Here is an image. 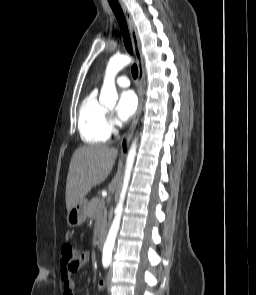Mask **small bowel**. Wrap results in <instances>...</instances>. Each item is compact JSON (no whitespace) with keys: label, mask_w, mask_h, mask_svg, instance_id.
<instances>
[{"label":"small bowel","mask_w":256,"mask_h":295,"mask_svg":"<svg viewBox=\"0 0 256 295\" xmlns=\"http://www.w3.org/2000/svg\"><path fill=\"white\" fill-rule=\"evenodd\" d=\"M90 259L89 251H83L79 256L78 265L75 269H62L61 270V281L64 288L63 295H73L74 281L72 278L73 272L82 269ZM98 291L102 292L106 289V285L103 280H99L96 284Z\"/></svg>","instance_id":"c3829d8e"}]
</instances>
